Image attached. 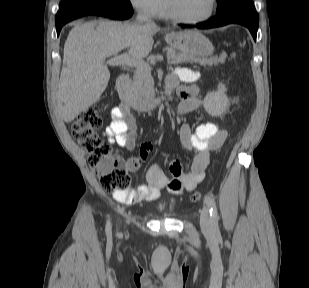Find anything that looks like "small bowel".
<instances>
[{"instance_id":"obj_1","label":"small bowel","mask_w":309,"mask_h":288,"mask_svg":"<svg viewBox=\"0 0 309 288\" xmlns=\"http://www.w3.org/2000/svg\"><path fill=\"white\" fill-rule=\"evenodd\" d=\"M181 74L185 77L189 76L186 71H182ZM166 86L171 89L177 88L181 97L177 110L179 115L188 114L201 107L202 99L198 88L193 85L180 86L178 75H170ZM104 135L110 143H115L120 147L128 150L136 147L137 126L129 107L119 105L112 109L111 121L106 126ZM179 137L182 146L193 155L188 166L180 160H172L169 165L171 174L169 178L159 166L153 165L147 171L146 183H140L125 193H114V200L122 204H133L140 200L152 201L158 198L166 187L173 194L193 191L205 177L210 153L222 147L227 137V130L220 129L212 122L201 123L195 130L183 124ZM151 149L152 145L147 143L140 148L138 156L128 157L126 159L127 169L136 171Z\"/></svg>"}]
</instances>
